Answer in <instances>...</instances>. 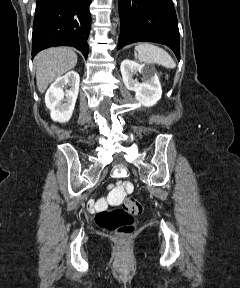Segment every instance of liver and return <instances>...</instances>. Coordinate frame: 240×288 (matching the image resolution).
Here are the masks:
<instances>
[{"instance_id":"6515ba94","label":"liver","mask_w":240,"mask_h":288,"mask_svg":"<svg viewBox=\"0 0 240 288\" xmlns=\"http://www.w3.org/2000/svg\"><path fill=\"white\" fill-rule=\"evenodd\" d=\"M35 64L37 88L44 93L51 82L76 66L77 55L70 48H49L37 54Z\"/></svg>"}]
</instances>
